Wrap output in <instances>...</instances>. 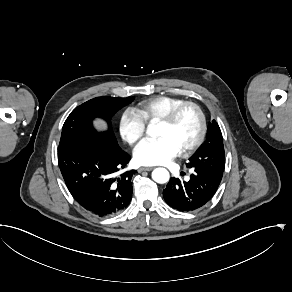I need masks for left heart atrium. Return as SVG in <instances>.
<instances>
[{"instance_id":"left-heart-atrium-1","label":"left heart atrium","mask_w":292,"mask_h":292,"mask_svg":"<svg viewBox=\"0 0 292 292\" xmlns=\"http://www.w3.org/2000/svg\"><path fill=\"white\" fill-rule=\"evenodd\" d=\"M181 153L180 146L168 136L143 140L134 150V160L140 165H161Z\"/></svg>"}]
</instances>
